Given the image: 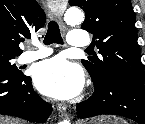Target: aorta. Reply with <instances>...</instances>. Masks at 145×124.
Listing matches in <instances>:
<instances>
[{
  "label": "aorta",
  "mask_w": 145,
  "mask_h": 124,
  "mask_svg": "<svg viewBox=\"0 0 145 124\" xmlns=\"http://www.w3.org/2000/svg\"><path fill=\"white\" fill-rule=\"evenodd\" d=\"M64 20L69 25H76L84 20V14L79 9L70 8L66 11L64 15ZM60 124H71L68 120H64Z\"/></svg>",
  "instance_id": "762f6f07"
}]
</instances>
